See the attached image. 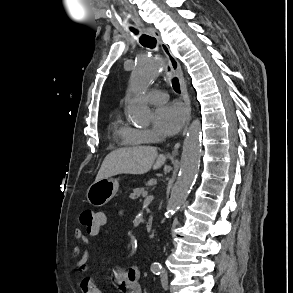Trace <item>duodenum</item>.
Instances as JSON below:
<instances>
[{"label":"duodenum","instance_id":"duodenum-1","mask_svg":"<svg viewBox=\"0 0 293 293\" xmlns=\"http://www.w3.org/2000/svg\"><path fill=\"white\" fill-rule=\"evenodd\" d=\"M146 230L151 232L153 230V218H148L146 222Z\"/></svg>","mask_w":293,"mask_h":293}]
</instances>
